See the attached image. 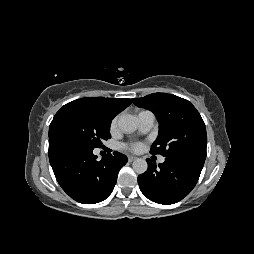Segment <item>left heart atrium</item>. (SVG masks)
<instances>
[{
    "mask_svg": "<svg viewBox=\"0 0 254 254\" xmlns=\"http://www.w3.org/2000/svg\"><path fill=\"white\" fill-rule=\"evenodd\" d=\"M142 145L140 143H132L124 145V148L130 149L132 151H139L141 149Z\"/></svg>",
    "mask_w": 254,
    "mask_h": 254,
    "instance_id": "39dd6f15",
    "label": "left heart atrium"
}]
</instances>
